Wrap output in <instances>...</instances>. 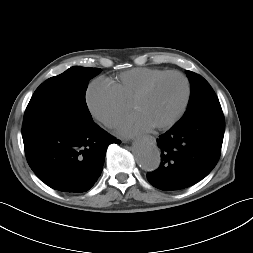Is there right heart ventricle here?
Wrapping results in <instances>:
<instances>
[{
  "label": "right heart ventricle",
  "mask_w": 253,
  "mask_h": 253,
  "mask_svg": "<svg viewBox=\"0 0 253 253\" xmlns=\"http://www.w3.org/2000/svg\"><path fill=\"white\" fill-rule=\"evenodd\" d=\"M166 72L163 69L138 67L125 71L111 81L121 98L130 103L134 95L151 79Z\"/></svg>",
  "instance_id": "right-heart-ventricle-1"
}]
</instances>
